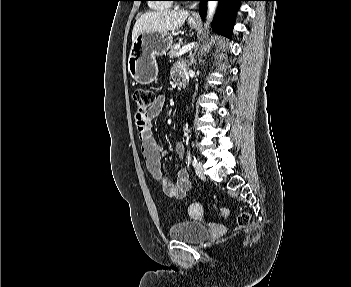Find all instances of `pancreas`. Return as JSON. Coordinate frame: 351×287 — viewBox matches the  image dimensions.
Here are the masks:
<instances>
[{
    "label": "pancreas",
    "instance_id": "1",
    "mask_svg": "<svg viewBox=\"0 0 351 287\" xmlns=\"http://www.w3.org/2000/svg\"><path fill=\"white\" fill-rule=\"evenodd\" d=\"M179 47H180V43L174 44V45L170 48V51H169V53H168V55H169L170 58H174V57L177 56Z\"/></svg>",
    "mask_w": 351,
    "mask_h": 287
}]
</instances>
